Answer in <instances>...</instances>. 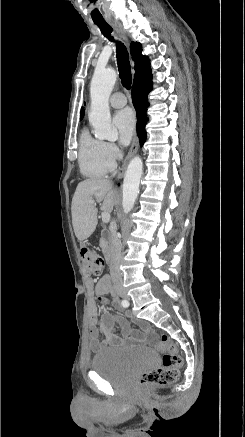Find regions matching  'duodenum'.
Returning a JSON list of instances; mask_svg holds the SVG:
<instances>
[{"label":"duodenum","mask_w":245,"mask_h":437,"mask_svg":"<svg viewBox=\"0 0 245 437\" xmlns=\"http://www.w3.org/2000/svg\"><path fill=\"white\" fill-rule=\"evenodd\" d=\"M101 238H102V241H103V248H102V250H103L104 258H105V260L107 262H109L110 259H111V252H110V249H109V247L107 245V241L110 238V233L108 231L104 230L102 232ZM105 277H107L109 279L108 276H105Z\"/></svg>","instance_id":"410a0bca"}]
</instances>
